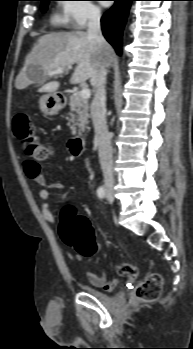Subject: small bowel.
Instances as JSON below:
<instances>
[{
    "label": "small bowel",
    "instance_id": "small-bowel-1",
    "mask_svg": "<svg viewBox=\"0 0 193 349\" xmlns=\"http://www.w3.org/2000/svg\"><path fill=\"white\" fill-rule=\"evenodd\" d=\"M24 169L26 175L42 187L38 193L40 199V209L45 220L54 224L55 217L50 203V191L47 188V180L45 175L41 171V167L35 165L34 163L26 161L24 163ZM52 188H55L57 190L63 189L58 184H52ZM78 258L80 259V257ZM117 271L118 273L128 277H134L136 275V268L133 266H125L123 268H119ZM86 275L90 283L94 287H102L106 290H111L118 283V279H113L109 281L105 272H87Z\"/></svg>",
    "mask_w": 193,
    "mask_h": 349
}]
</instances>
